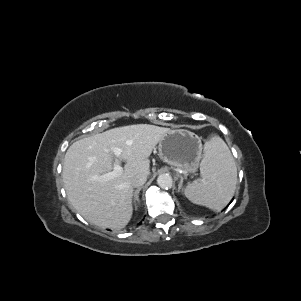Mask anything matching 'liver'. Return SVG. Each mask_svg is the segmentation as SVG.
Listing matches in <instances>:
<instances>
[{
    "instance_id": "1",
    "label": "liver",
    "mask_w": 301,
    "mask_h": 301,
    "mask_svg": "<svg viewBox=\"0 0 301 301\" xmlns=\"http://www.w3.org/2000/svg\"><path fill=\"white\" fill-rule=\"evenodd\" d=\"M168 128L150 124L117 127L78 140L67 150L63 181L67 197L88 222L102 228L122 229L133 213L132 178L150 173L149 156ZM122 150V173L108 181L99 177L112 170V148Z\"/></svg>"
}]
</instances>
